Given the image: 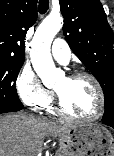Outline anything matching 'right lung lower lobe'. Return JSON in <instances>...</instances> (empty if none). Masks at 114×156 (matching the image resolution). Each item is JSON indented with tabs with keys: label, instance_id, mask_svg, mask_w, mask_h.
Wrapping results in <instances>:
<instances>
[{
	"label": "right lung lower lobe",
	"instance_id": "obj_1",
	"mask_svg": "<svg viewBox=\"0 0 114 156\" xmlns=\"http://www.w3.org/2000/svg\"><path fill=\"white\" fill-rule=\"evenodd\" d=\"M23 107H11V106H6V105H0V114L1 113H6V112H15L21 110Z\"/></svg>",
	"mask_w": 114,
	"mask_h": 156
}]
</instances>
